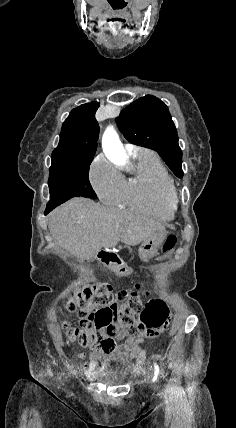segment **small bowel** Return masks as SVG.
Returning a JSON list of instances; mask_svg holds the SVG:
<instances>
[{
	"mask_svg": "<svg viewBox=\"0 0 236 428\" xmlns=\"http://www.w3.org/2000/svg\"><path fill=\"white\" fill-rule=\"evenodd\" d=\"M126 329L120 328V336H125ZM158 334V331L140 332L129 337L125 344L120 346L113 354H103L100 352H93L90 354H81L83 359H87L84 364L86 373L90 376H97L108 363L117 361L121 363H129L132 360H137L141 363L145 357L144 350L141 349L140 344L145 338L153 337Z\"/></svg>",
	"mask_w": 236,
	"mask_h": 428,
	"instance_id": "obj_1",
	"label": "small bowel"
}]
</instances>
